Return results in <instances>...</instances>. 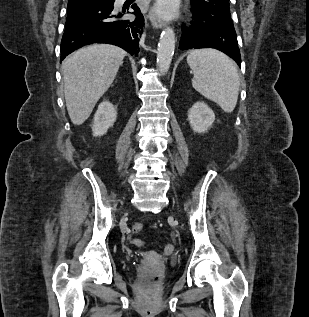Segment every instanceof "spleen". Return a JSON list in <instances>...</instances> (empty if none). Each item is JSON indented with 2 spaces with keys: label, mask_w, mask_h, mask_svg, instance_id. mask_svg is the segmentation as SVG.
I'll list each match as a JSON object with an SVG mask.
<instances>
[{
  "label": "spleen",
  "mask_w": 309,
  "mask_h": 317,
  "mask_svg": "<svg viewBox=\"0 0 309 317\" xmlns=\"http://www.w3.org/2000/svg\"><path fill=\"white\" fill-rule=\"evenodd\" d=\"M187 63L194 75L193 88L231 113L236 107L240 87L235 63L215 49L193 50Z\"/></svg>",
  "instance_id": "3e777b00"
}]
</instances>
